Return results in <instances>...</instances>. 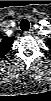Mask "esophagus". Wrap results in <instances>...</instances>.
<instances>
[{
    "mask_svg": "<svg viewBox=\"0 0 51 101\" xmlns=\"http://www.w3.org/2000/svg\"><path fill=\"white\" fill-rule=\"evenodd\" d=\"M33 34V29L24 32V35L29 36Z\"/></svg>",
    "mask_w": 51,
    "mask_h": 101,
    "instance_id": "34e87169",
    "label": "esophagus"
}]
</instances>
